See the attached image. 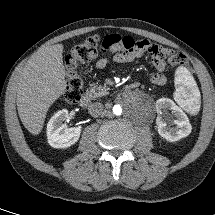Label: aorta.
<instances>
[{"label":"aorta","mask_w":215,"mask_h":215,"mask_svg":"<svg viewBox=\"0 0 215 215\" xmlns=\"http://www.w3.org/2000/svg\"><path fill=\"white\" fill-rule=\"evenodd\" d=\"M113 112H114L115 115H121V113H122V108H121V106H120V105L114 106Z\"/></svg>","instance_id":"762f6f07"}]
</instances>
